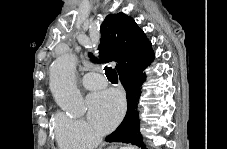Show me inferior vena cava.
<instances>
[{"label": "inferior vena cava", "mask_w": 227, "mask_h": 149, "mask_svg": "<svg viewBox=\"0 0 227 149\" xmlns=\"http://www.w3.org/2000/svg\"><path fill=\"white\" fill-rule=\"evenodd\" d=\"M95 137H96V143L98 144V143H100L101 141H102V138H101V136L100 135H95Z\"/></svg>", "instance_id": "obj_1"}]
</instances>
